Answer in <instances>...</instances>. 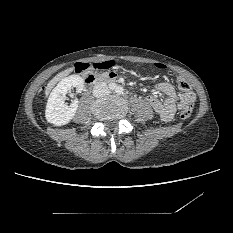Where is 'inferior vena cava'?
Listing matches in <instances>:
<instances>
[{
	"label": "inferior vena cava",
	"mask_w": 233,
	"mask_h": 233,
	"mask_svg": "<svg viewBox=\"0 0 233 233\" xmlns=\"http://www.w3.org/2000/svg\"><path fill=\"white\" fill-rule=\"evenodd\" d=\"M109 89L106 83H97L93 88V95L95 97H102L109 94Z\"/></svg>",
	"instance_id": "1"
}]
</instances>
